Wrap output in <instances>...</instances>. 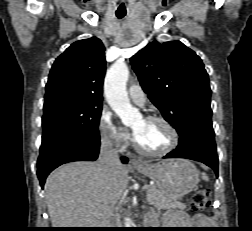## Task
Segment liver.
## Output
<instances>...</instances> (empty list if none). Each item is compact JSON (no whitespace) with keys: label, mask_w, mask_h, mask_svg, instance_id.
I'll use <instances>...</instances> for the list:
<instances>
[{"label":"liver","mask_w":252,"mask_h":231,"mask_svg":"<svg viewBox=\"0 0 252 231\" xmlns=\"http://www.w3.org/2000/svg\"><path fill=\"white\" fill-rule=\"evenodd\" d=\"M128 183V169L123 165L112 174L99 161L57 168L45 183L53 228H104Z\"/></svg>","instance_id":"obj_1"}]
</instances>
